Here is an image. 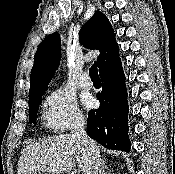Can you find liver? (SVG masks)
<instances>
[{"instance_id": "6515ba94", "label": "liver", "mask_w": 175, "mask_h": 174, "mask_svg": "<svg viewBox=\"0 0 175 174\" xmlns=\"http://www.w3.org/2000/svg\"><path fill=\"white\" fill-rule=\"evenodd\" d=\"M77 160L82 172L91 167L90 155L84 144L73 134L49 137L23 148L18 162L17 174L32 171L66 173L75 167Z\"/></svg>"}]
</instances>
